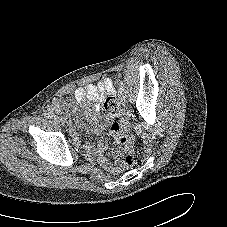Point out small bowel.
Here are the masks:
<instances>
[{"label": "small bowel", "instance_id": "1", "mask_svg": "<svg viewBox=\"0 0 227 227\" xmlns=\"http://www.w3.org/2000/svg\"><path fill=\"white\" fill-rule=\"evenodd\" d=\"M115 83L112 79L106 78L103 81L99 82L98 84H88L84 87H78L74 94L77 100H83L85 98H90L93 100H103L106 94H112L114 92ZM61 99H57L55 102V107L59 105ZM72 135L75 139H77V133L75 130H72ZM86 151L91 153L92 150L89 146H86ZM106 147L105 144L100 142L98 144V148L96 150V156L103 167L108 169L113 173L118 172V168L115 165H112L103 155Z\"/></svg>", "mask_w": 227, "mask_h": 227}]
</instances>
